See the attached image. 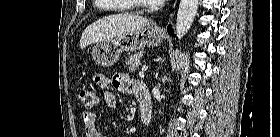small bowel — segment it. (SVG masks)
I'll return each instance as SVG.
<instances>
[{"instance_id":"1","label":"small bowel","mask_w":280,"mask_h":137,"mask_svg":"<svg viewBox=\"0 0 280 137\" xmlns=\"http://www.w3.org/2000/svg\"><path fill=\"white\" fill-rule=\"evenodd\" d=\"M95 83L103 89H108L110 86H112L122 93L135 94L136 96L139 85V83L131 80L121 72H116L112 77L104 73H98L95 75ZM104 104L109 109L115 108L117 105L116 95L111 91H106L104 93ZM81 118L86 137H102L96 127L95 113L83 111L81 113Z\"/></svg>"}]
</instances>
